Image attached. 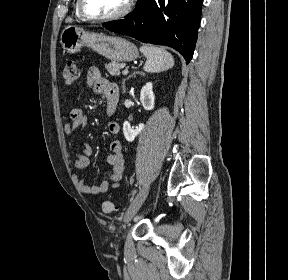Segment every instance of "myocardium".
Instances as JSON below:
<instances>
[{"instance_id": "myocardium-1", "label": "myocardium", "mask_w": 288, "mask_h": 280, "mask_svg": "<svg viewBox=\"0 0 288 280\" xmlns=\"http://www.w3.org/2000/svg\"><path fill=\"white\" fill-rule=\"evenodd\" d=\"M132 2L133 0H127L124 7L117 13L109 15V16H101V17L90 15L85 9L84 0H77V7H78V12L80 16L84 20L92 21V22H110V21H116L125 17L131 10Z\"/></svg>"}]
</instances>
